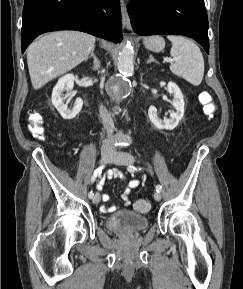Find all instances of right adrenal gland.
Wrapping results in <instances>:
<instances>
[{
  "label": "right adrenal gland",
  "mask_w": 243,
  "mask_h": 289,
  "mask_svg": "<svg viewBox=\"0 0 243 289\" xmlns=\"http://www.w3.org/2000/svg\"><path fill=\"white\" fill-rule=\"evenodd\" d=\"M94 49H95V47L91 50V55L88 56V57L85 59V61H87L89 58H93V67H92V69H93V70H96V69H98V68L100 67V61H99V59L96 57V55L94 54Z\"/></svg>",
  "instance_id": "1"
}]
</instances>
